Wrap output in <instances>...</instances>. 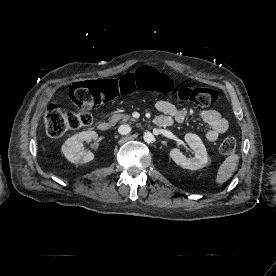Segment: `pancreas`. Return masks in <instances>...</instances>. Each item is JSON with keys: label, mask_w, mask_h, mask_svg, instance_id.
<instances>
[{"label": "pancreas", "mask_w": 276, "mask_h": 276, "mask_svg": "<svg viewBox=\"0 0 276 276\" xmlns=\"http://www.w3.org/2000/svg\"><path fill=\"white\" fill-rule=\"evenodd\" d=\"M126 123L128 121H136L130 115L125 114H114L109 118L110 125H115L117 122Z\"/></svg>", "instance_id": "1"}]
</instances>
